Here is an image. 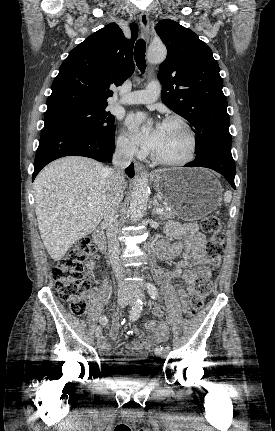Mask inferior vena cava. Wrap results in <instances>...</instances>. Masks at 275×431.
<instances>
[{
	"label": "inferior vena cava",
	"instance_id": "inferior-vena-cava-1",
	"mask_svg": "<svg viewBox=\"0 0 275 431\" xmlns=\"http://www.w3.org/2000/svg\"><path fill=\"white\" fill-rule=\"evenodd\" d=\"M134 148L125 143L118 145L113 155V167L106 168V201L104 207V226L107 231L109 258L118 281L123 278V268L119 260L120 249L117 240L118 222L116 210L123 199L124 170L133 159Z\"/></svg>",
	"mask_w": 275,
	"mask_h": 431
}]
</instances>
